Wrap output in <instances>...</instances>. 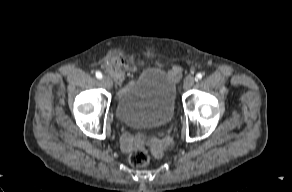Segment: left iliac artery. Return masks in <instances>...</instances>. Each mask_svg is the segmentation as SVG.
<instances>
[{
    "label": "left iliac artery",
    "mask_w": 292,
    "mask_h": 192,
    "mask_svg": "<svg viewBox=\"0 0 292 192\" xmlns=\"http://www.w3.org/2000/svg\"><path fill=\"white\" fill-rule=\"evenodd\" d=\"M202 77H203V75L201 73H198L196 75V80H200V79H202Z\"/></svg>",
    "instance_id": "left-iliac-artery-1"
}]
</instances>
